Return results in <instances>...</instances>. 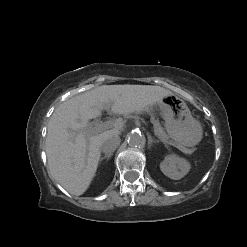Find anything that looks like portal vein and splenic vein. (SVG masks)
Returning <instances> with one entry per match:
<instances>
[{"label": "portal vein and splenic vein", "mask_w": 247, "mask_h": 247, "mask_svg": "<svg viewBox=\"0 0 247 247\" xmlns=\"http://www.w3.org/2000/svg\"><path fill=\"white\" fill-rule=\"evenodd\" d=\"M120 123H121V122H120L119 119H116L115 121L109 120V121H106V122H104V123H102V122H97V123L95 124V127L92 128V129H90V130L93 131V132H100L101 130H103V129H105V128H110V127H112V126H118ZM154 132H155V131H154ZM155 135H157L156 132H155ZM160 140H161L163 143H165V144L167 143L164 139H161V138H160ZM168 144L173 145L172 143H168Z\"/></svg>", "instance_id": "obj_1"}]
</instances>
